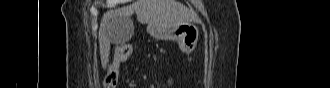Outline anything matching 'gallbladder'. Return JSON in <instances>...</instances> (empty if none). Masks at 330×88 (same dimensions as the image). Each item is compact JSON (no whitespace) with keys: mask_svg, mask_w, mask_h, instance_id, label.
Returning a JSON list of instances; mask_svg holds the SVG:
<instances>
[{"mask_svg":"<svg viewBox=\"0 0 330 88\" xmlns=\"http://www.w3.org/2000/svg\"><path fill=\"white\" fill-rule=\"evenodd\" d=\"M113 28L116 35V41L114 44H123L129 41L134 33L133 23L128 20H121L114 23Z\"/></svg>","mask_w":330,"mask_h":88,"instance_id":"gallbladder-1","label":"gallbladder"}]
</instances>
